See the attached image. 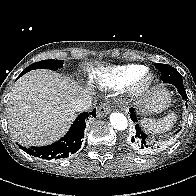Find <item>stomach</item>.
Masks as SVG:
<instances>
[{
  "label": "stomach",
  "instance_id": "1",
  "mask_svg": "<svg viewBox=\"0 0 196 196\" xmlns=\"http://www.w3.org/2000/svg\"><path fill=\"white\" fill-rule=\"evenodd\" d=\"M171 94L164 87L154 88L141 102V112L144 114L159 113L168 107Z\"/></svg>",
  "mask_w": 196,
  "mask_h": 196
}]
</instances>
